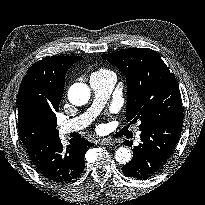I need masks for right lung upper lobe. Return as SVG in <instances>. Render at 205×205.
<instances>
[{"label":"right lung upper lobe","instance_id":"right-lung-upper-lobe-1","mask_svg":"<svg viewBox=\"0 0 205 205\" xmlns=\"http://www.w3.org/2000/svg\"><path fill=\"white\" fill-rule=\"evenodd\" d=\"M81 59L80 56L46 57L28 70L17 97L18 132L24 145L59 136L56 112L63 96L65 74Z\"/></svg>","mask_w":205,"mask_h":205}]
</instances>
